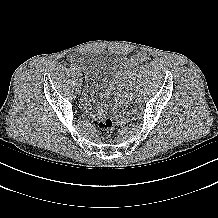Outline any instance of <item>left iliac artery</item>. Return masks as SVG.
Listing matches in <instances>:
<instances>
[{
    "mask_svg": "<svg viewBox=\"0 0 218 218\" xmlns=\"http://www.w3.org/2000/svg\"><path fill=\"white\" fill-rule=\"evenodd\" d=\"M126 91H127L128 93H129V92H130V93H133V92H134V89H133L132 86H128Z\"/></svg>",
    "mask_w": 218,
    "mask_h": 218,
    "instance_id": "left-iliac-artery-1",
    "label": "left iliac artery"
}]
</instances>
